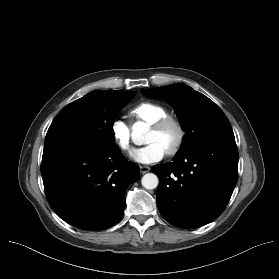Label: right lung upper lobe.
Segmentation results:
<instances>
[{
    "label": "right lung upper lobe",
    "instance_id": "cb5924a9",
    "mask_svg": "<svg viewBox=\"0 0 279 279\" xmlns=\"http://www.w3.org/2000/svg\"><path fill=\"white\" fill-rule=\"evenodd\" d=\"M110 92H123V91H110ZM130 93H135V92H130Z\"/></svg>",
    "mask_w": 279,
    "mask_h": 279
}]
</instances>
